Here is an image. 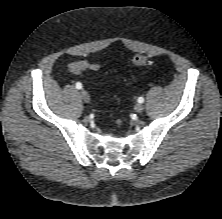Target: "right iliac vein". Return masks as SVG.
Masks as SVG:
<instances>
[{
  "label": "right iliac vein",
  "mask_w": 222,
  "mask_h": 219,
  "mask_svg": "<svg viewBox=\"0 0 222 219\" xmlns=\"http://www.w3.org/2000/svg\"><path fill=\"white\" fill-rule=\"evenodd\" d=\"M80 95L84 102L88 103L90 101V96L87 91L81 90Z\"/></svg>",
  "instance_id": "right-iliac-vein-1"
}]
</instances>
